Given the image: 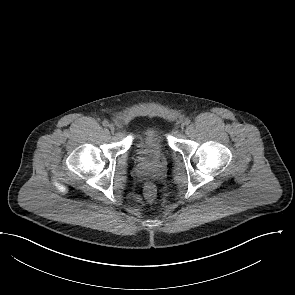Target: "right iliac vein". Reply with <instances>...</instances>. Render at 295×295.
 Wrapping results in <instances>:
<instances>
[{
  "label": "right iliac vein",
  "instance_id": "obj_1",
  "mask_svg": "<svg viewBox=\"0 0 295 295\" xmlns=\"http://www.w3.org/2000/svg\"><path fill=\"white\" fill-rule=\"evenodd\" d=\"M109 129H110V131L113 132V131L115 130V126H114L113 124H110V125H109Z\"/></svg>",
  "mask_w": 295,
  "mask_h": 295
}]
</instances>
